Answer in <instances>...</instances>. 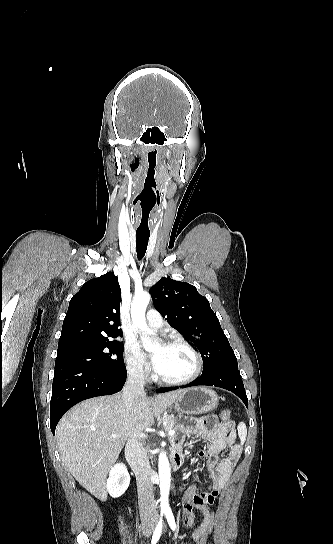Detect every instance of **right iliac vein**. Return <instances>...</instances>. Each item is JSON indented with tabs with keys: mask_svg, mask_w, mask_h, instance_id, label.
I'll use <instances>...</instances> for the list:
<instances>
[{
	"mask_svg": "<svg viewBox=\"0 0 333 544\" xmlns=\"http://www.w3.org/2000/svg\"><path fill=\"white\" fill-rule=\"evenodd\" d=\"M154 525L152 523H145L143 525V533L145 536L149 537L152 534Z\"/></svg>",
	"mask_w": 333,
	"mask_h": 544,
	"instance_id": "1",
	"label": "right iliac vein"
}]
</instances>
